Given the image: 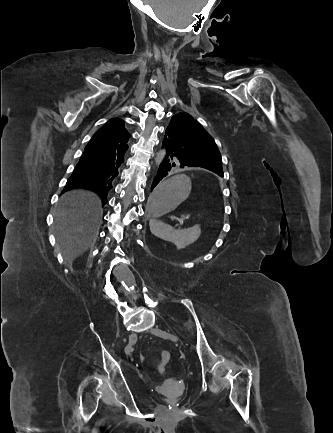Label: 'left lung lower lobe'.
Segmentation results:
<instances>
[{"mask_svg":"<svg viewBox=\"0 0 333 433\" xmlns=\"http://www.w3.org/2000/svg\"><path fill=\"white\" fill-rule=\"evenodd\" d=\"M162 147L165 149L164 158L159 166L158 172L151 186V191L154 187L169 174L170 171L177 169L199 168L196 164L186 160L175 153L171 148L168 140L164 137Z\"/></svg>","mask_w":333,"mask_h":433,"instance_id":"obj_1","label":"left lung lower lobe"}]
</instances>
